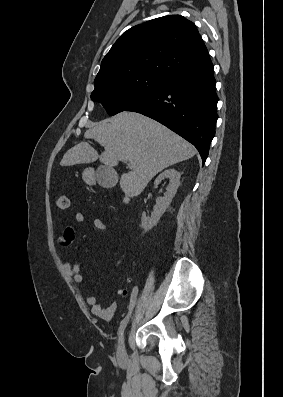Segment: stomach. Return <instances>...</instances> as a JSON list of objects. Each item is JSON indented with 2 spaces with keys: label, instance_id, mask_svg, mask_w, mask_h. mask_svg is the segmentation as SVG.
<instances>
[{
  "label": "stomach",
  "instance_id": "obj_1",
  "mask_svg": "<svg viewBox=\"0 0 283 397\" xmlns=\"http://www.w3.org/2000/svg\"><path fill=\"white\" fill-rule=\"evenodd\" d=\"M82 177H83V180L89 185L95 184V182L97 180V174L93 168H86L83 171Z\"/></svg>",
  "mask_w": 283,
  "mask_h": 397
}]
</instances>
